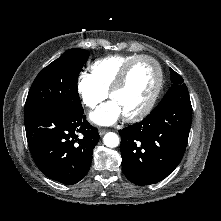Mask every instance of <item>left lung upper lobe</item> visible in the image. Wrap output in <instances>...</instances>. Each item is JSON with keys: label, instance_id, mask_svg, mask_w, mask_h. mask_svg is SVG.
<instances>
[{"label": "left lung upper lobe", "instance_id": "obj_1", "mask_svg": "<svg viewBox=\"0 0 221 221\" xmlns=\"http://www.w3.org/2000/svg\"><path fill=\"white\" fill-rule=\"evenodd\" d=\"M172 86L167 93H174V96L179 97L183 93H188L185 83H183L182 77L174 70L170 69Z\"/></svg>", "mask_w": 221, "mask_h": 221}]
</instances>
